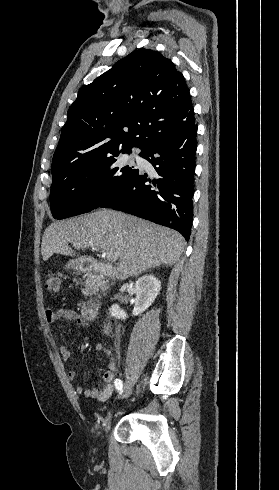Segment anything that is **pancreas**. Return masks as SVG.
Returning <instances> with one entry per match:
<instances>
[{"mask_svg": "<svg viewBox=\"0 0 279 490\" xmlns=\"http://www.w3.org/2000/svg\"><path fill=\"white\" fill-rule=\"evenodd\" d=\"M105 284V280H102L99 276H91V278H87L84 288H82V294L83 296H92L100 286H105Z\"/></svg>", "mask_w": 279, "mask_h": 490, "instance_id": "obj_1", "label": "pancreas"}]
</instances>
